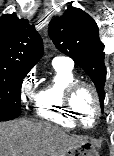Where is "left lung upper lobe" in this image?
<instances>
[{
  "label": "left lung upper lobe",
  "instance_id": "5c2ea615",
  "mask_svg": "<svg viewBox=\"0 0 114 156\" xmlns=\"http://www.w3.org/2000/svg\"><path fill=\"white\" fill-rule=\"evenodd\" d=\"M48 33L57 49L71 57L90 76L103 109L105 54L96 22L81 9L69 7L61 17L50 21Z\"/></svg>",
  "mask_w": 114,
  "mask_h": 156
}]
</instances>
